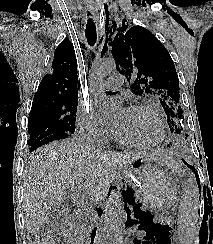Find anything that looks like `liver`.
I'll return each instance as SVG.
<instances>
[{
	"instance_id": "liver-1",
	"label": "liver",
	"mask_w": 213,
	"mask_h": 244,
	"mask_svg": "<svg viewBox=\"0 0 213 244\" xmlns=\"http://www.w3.org/2000/svg\"><path fill=\"white\" fill-rule=\"evenodd\" d=\"M140 157L168 165L161 153L98 151L70 141H55L36 150L24 175L25 227L33 235L48 222L53 209L61 206L70 191L84 180L87 197L103 200L116 177V170Z\"/></svg>"
}]
</instances>
